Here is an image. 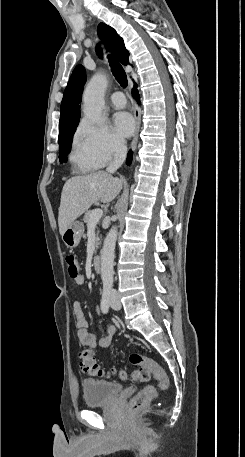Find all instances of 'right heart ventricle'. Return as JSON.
I'll list each match as a JSON object with an SVG mask.
<instances>
[{
    "label": "right heart ventricle",
    "instance_id": "obj_1",
    "mask_svg": "<svg viewBox=\"0 0 245 457\" xmlns=\"http://www.w3.org/2000/svg\"><path fill=\"white\" fill-rule=\"evenodd\" d=\"M73 152L75 157L89 169H96L101 165L98 161L90 156L84 145H82L79 132L74 137Z\"/></svg>",
    "mask_w": 245,
    "mask_h": 457
}]
</instances>
